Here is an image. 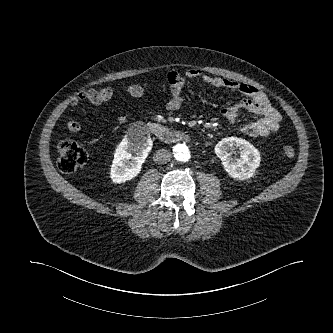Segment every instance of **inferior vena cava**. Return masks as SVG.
Instances as JSON below:
<instances>
[{
	"mask_svg": "<svg viewBox=\"0 0 333 333\" xmlns=\"http://www.w3.org/2000/svg\"><path fill=\"white\" fill-rule=\"evenodd\" d=\"M171 159V154L167 150H159L154 155V161L160 164L169 162Z\"/></svg>",
	"mask_w": 333,
	"mask_h": 333,
	"instance_id": "1",
	"label": "inferior vena cava"
}]
</instances>
